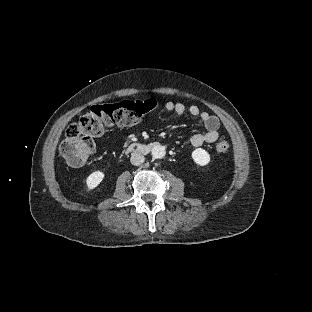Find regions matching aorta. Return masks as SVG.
Here are the masks:
<instances>
[{
	"label": "aorta",
	"mask_w": 312,
	"mask_h": 312,
	"mask_svg": "<svg viewBox=\"0 0 312 312\" xmlns=\"http://www.w3.org/2000/svg\"><path fill=\"white\" fill-rule=\"evenodd\" d=\"M151 154L154 159H162L166 155L165 147L162 145H154L151 149Z\"/></svg>",
	"instance_id": "aorta-1"
}]
</instances>
